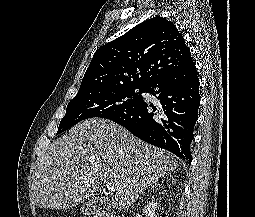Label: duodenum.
Masks as SVG:
<instances>
[{
	"label": "duodenum",
	"mask_w": 255,
	"mask_h": 217,
	"mask_svg": "<svg viewBox=\"0 0 255 217\" xmlns=\"http://www.w3.org/2000/svg\"><path fill=\"white\" fill-rule=\"evenodd\" d=\"M94 217H122L117 212H96L94 213Z\"/></svg>",
	"instance_id": "obj_1"
}]
</instances>
